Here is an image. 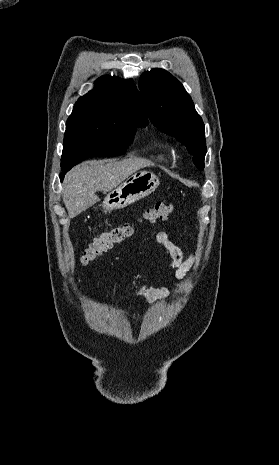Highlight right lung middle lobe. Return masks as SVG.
<instances>
[{
	"label": "right lung middle lobe",
	"mask_w": 279,
	"mask_h": 465,
	"mask_svg": "<svg viewBox=\"0 0 279 465\" xmlns=\"http://www.w3.org/2000/svg\"><path fill=\"white\" fill-rule=\"evenodd\" d=\"M139 126L142 125L136 121L123 120L99 126L66 128L62 171L89 157L124 154Z\"/></svg>",
	"instance_id": "dd1d6c3e"
}]
</instances>
